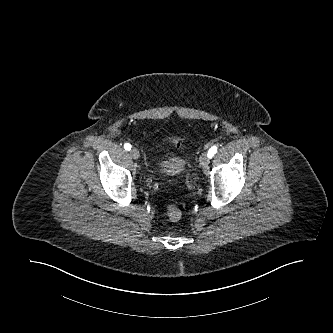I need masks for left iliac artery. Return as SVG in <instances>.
Listing matches in <instances>:
<instances>
[{
  "mask_svg": "<svg viewBox=\"0 0 333 333\" xmlns=\"http://www.w3.org/2000/svg\"><path fill=\"white\" fill-rule=\"evenodd\" d=\"M216 152H217V146L214 145L208 150V157L212 158Z\"/></svg>",
  "mask_w": 333,
  "mask_h": 333,
  "instance_id": "obj_1",
  "label": "left iliac artery"
}]
</instances>
